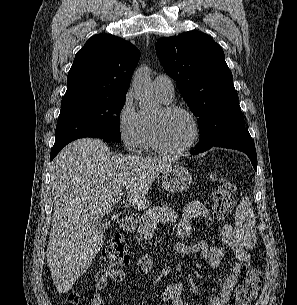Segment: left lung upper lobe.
I'll return each mask as SVG.
<instances>
[{
  "instance_id": "left-lung-upper-lobe-1",
  "label": "left lung upper lobe",
  "mask_w": 297,
  "mask_h": 305,
  "mask_svg": "<svg viewBox=\"0 0 297 305\" xmlns=\"http://www.w3.org/2000/svg\"><path fill=\"white\" fill-rule=\"evenodd\" d=\"M155 48L164 71L176 81L183 99L198 118L200 140L216 143L245 127L224 52L210 36L189 31L162 38ZM200 140L195 148L202 147Z\"/></svg>"
}]
</instances>
